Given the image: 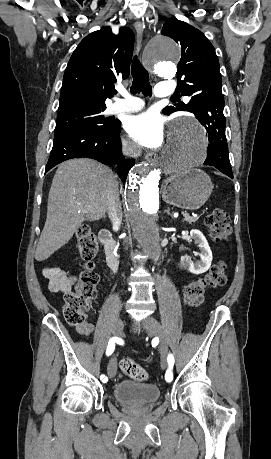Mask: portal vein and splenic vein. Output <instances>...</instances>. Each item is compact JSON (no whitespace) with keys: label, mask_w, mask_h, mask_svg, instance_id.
<instances>
[{"label":"portal vein and splenic vein","mask_w":271,"mask_h":459,"mask_svg":"<svg viewBox=\"0 0 271 459\" xmlns=\"http://www.w3.org/2000/svg\"><path fill=\"white\" fill-rule=\"evenodd\" d=\"M80 212H81V210H80ZM183 214H184L185 217H188V213L187 212L186 213L184 212Z\"/></svg>","instance_id":"1"}]
</instances>
